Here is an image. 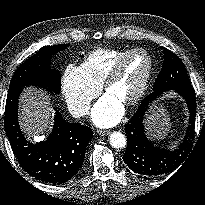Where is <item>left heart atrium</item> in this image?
Instances as JSON below:
<instances>
[{
  "instance_id": "obj_1",
  "label": "left heart atrium",
  "mask_w": 205,
  "mask_h": 205,
  "mask_svg": "<svg viewBox=\"0 0 205 205\" xmlns=\"http://www.w3.org/2000/svg\"><path fill=\"white\" fill-rule=\"evenodd\" d=\"M122 116V104L109 94L102 96L92 110V120L100 127L114 126Z\"/></svg>"
}]
</instances>
